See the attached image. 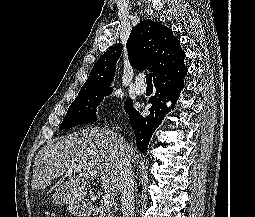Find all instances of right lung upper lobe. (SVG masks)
<instances>
[{
	"label": "right lung upper lobe",
	"mask_w": 255,
	"mask_h": 217,
	"mask_svg": "<svg viewBox=\"0 0 255 217\" xmlns=\"http://www.w3.org/2000/svg\"><path fill=\"white\" fill-rule=\"evenodd\" d=\"M126 46L131 65L136 69H148L154 79L185 57L180 40L174 37L172 30L151 20H143L132 29ZM122 49L123 45L117 44L97 60L80 94L112 89L110 84Z\"/></svg>",
	"instance_id": "obj_1"
}]
</instances>
